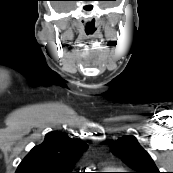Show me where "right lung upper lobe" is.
<instances>
[{
	"instance_id": "right-lung-upper-lobe-1",
	"label": "right lung upper lobe",
	"mask_w": 173,
	"mask_h": 173,
	"mask_svg": "<svg viewBox=\"0 0 173 173\" xmlns=\"http://www.w3.org/2000/svg\"><path fill=\"white\" fill-rule=\"evenodd\" d=\"M85 142L53 131L22 160L15 173H72L73 166L86 150Z\"/></svg>"
}]
</instances>
